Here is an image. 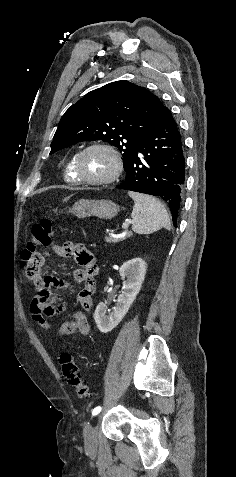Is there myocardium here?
Instances as JSON below:
<instances>
[{
	"instance_id": "f54148a6",
	"label": "myocardium",
	"mask_w": 236,
	"mask_h": 477,
	"mask_svg": "<svg viewBox=\"0 0 236 477\" xmlns=\"http://www.w3.org/2000/svg\"><path fill=\"white\" fill-rule=\"evenodd\" d=\"M101 150L105 152L112 160L113 169L112 171L105 177L99 179H89L82 176L80 171V162L83 156L90 150ZM74 173L78 179L79 184H88L93 186H102L107 185L114 182L121 174L123 169L122 159L118 153V151L113 148L112 146L102 143V142H95L92 143L85 148H83L76 156L74 165H73Z\"/></svg>"
}]
</instances>
